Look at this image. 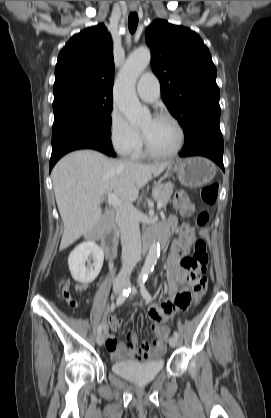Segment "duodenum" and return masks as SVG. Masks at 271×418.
Instances as JSON below:
<instances>
[{
	"label": "duodenum",
	"mask_w": 271,
	"mask_h": 418,
	"mask_svg": "<svg viewBox=\"0 0 271 418\" xmlns=\"http://www.w3.org/2000/svg\"><path fill=\"white\" fill-rule=\"evenodd\" d=\"M116 237H117V227L114 220V215L109 213L107 215V220L104 225L103 231L100 235L91 233L89 239L100 238L102 242V248L108 259H112L116 252ZM168 238V233L165 230L157 229L153 232H150L144 239V249H147L154 241L158 240L161 243L166 242Z\"/></svg>",
	"instance_id": "410a0bca"
}]
</instances>
